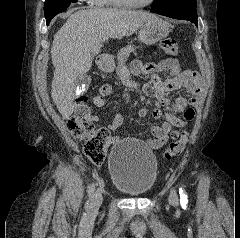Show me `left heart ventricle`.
<instances>
[{"label": "left heart ventricle", "instance_id": "left-heart-ventricle-1", "mask_svg": "<svg viewBox=\"0 0 240 238\" xmlns=\"http://www.w3.org/2000/svg\"><path fill=\"white\" fill-rule=\"evenodd\" d=\"M130 2H136V3H144L147 2L148 0H128Z\"/></svg>", "mask_w": 240, "mask_h": 238}]
</instances>
